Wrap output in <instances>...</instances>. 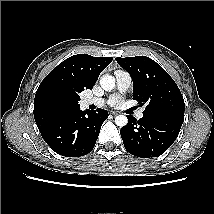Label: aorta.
I'll list each match as a JSON object with an SVG mask.
<instances>
[{
    "label": "aorta",
    "instance_id": "762f6f07",
    "mask_svg": "<svg viewBox=\"0 0 214 214\" xmlns=\"http://www.w3.org/2000/svg\"><path fill=\"white\" fill-rule=\"evenodd\" d=\"M115 78L111 75H104L100 79V85L105 91H111L115 87ZM115 123L119 127H124L128 123V119L125 115H118L115 118Z\"/></svg>",
    "mask_w": 214,
    "mask_h": 214
}]
</instances>
